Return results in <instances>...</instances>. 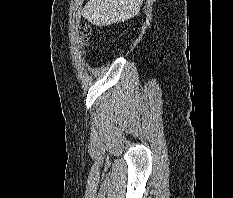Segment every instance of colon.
<instances>
[{
  "label": "colon",
  "instance_id": "obj_1",
  "mask_svg": "<svg viewBox=\"0 0 233 198\" xmlns=\"http://www.w3.org/2000/svg\"><path fill=\"white\" fill-rule=\"evenodd\" d=\"M91 33V28L87 23H83L80 27V40L82 43H86L88 41V37Z\"/></svg>",
  "mask_w": 233,
  "mask_h": 198
}]
</instances>
